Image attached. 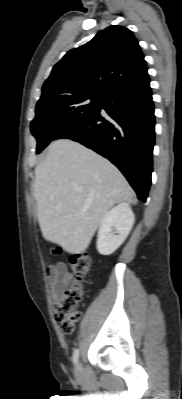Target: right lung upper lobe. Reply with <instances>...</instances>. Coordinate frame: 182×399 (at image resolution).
Returning a JSON list of instances; mask_svg holds the SVG:
<instances>
[{"label": "right lung upper lobe", "mask_w": 182, "mask_h": 399, "mask_svg": "<svg viewBox=\"0 0 182 399\" xmlns=\"http://www.w3.org/2000/svg\"><path fill=\"white\" fill-rule=\"evenodd\" d=\"M148 78L144 55L133 33L112 25L83 46L70 50L51 72L38 102L107 92Z\"/></svg>", "instance_id": "1"}]
</instances>
